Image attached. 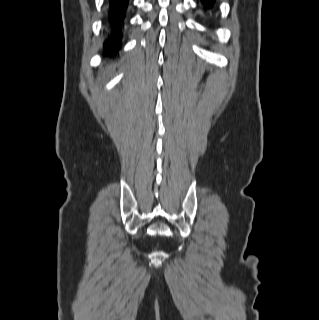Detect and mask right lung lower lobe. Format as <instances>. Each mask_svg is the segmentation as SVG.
<instances>
[{
  "mask_svg": "<svg viewBox=\"0 0 319 320\" xmlns=\"http://www.w3.org/2000/svg\"><path fill=\"white\" fill-rule=\"evenodd\" d=\"M129 0H109V25L112 28L111 38L105 43L107 55L120 49V27L123 24L125 9Z\"/></svg>",
  "mask_w": 319,
  "mask_h": 320,
  "instance_id": "98d812e1",
  "label": "right lung lower lobe"
}]
</instances>
